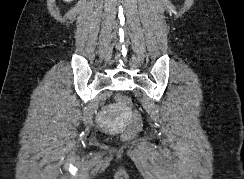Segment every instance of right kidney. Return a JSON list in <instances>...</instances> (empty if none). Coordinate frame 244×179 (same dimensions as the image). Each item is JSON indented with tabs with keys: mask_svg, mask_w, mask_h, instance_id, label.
I'll list each match as a JSON object with an SVG mask.
<instances>
[{
	"mask_svg": "<svg viewBox=\"0 0 244 179\" xmlns=\"http://www.w3.org/2000/svg\"><path fill=\"white\" fill-rule=\"evenodd\" d=\"M64 2H72V0H64Z\"/></svg>",
	"mask_w": 244,
	"mask_h": 179,
	"instance_id": "obj_1",
	"label": "right kidney"
}]
</instances>
